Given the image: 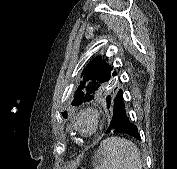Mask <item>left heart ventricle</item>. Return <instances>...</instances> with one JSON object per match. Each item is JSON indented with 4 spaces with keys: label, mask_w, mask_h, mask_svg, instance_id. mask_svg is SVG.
Masks as SVG:
<instances>
[{
    "label": "left heart ventricle",
    "mask_w": 177,
    "mask_h": 169,
    "mask_svg": "<svg viewBox=\"0 0 177 169\" xmlns=\"http://www.w3.org/2000/svg\"><path fill=\"white\" fill-rule=\"evenodd\" d=\"M82 125H83L84 129H87L89 127V125L86 121H83Z\"/></svg>",
    "instance_id": "obj_1"
}]
</instances>
